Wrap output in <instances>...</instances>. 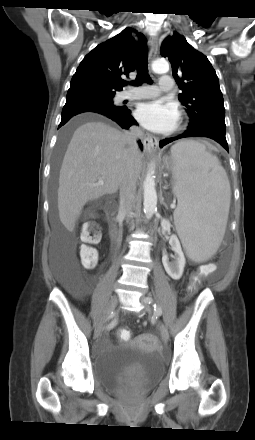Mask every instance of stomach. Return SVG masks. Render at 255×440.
Wrapping results in <instances>:
<instances>
[{"label":"stomach","instance_id":"1","mask_svg":"<svg viewBox=\"0 0 255 440\" xmlns=\"http://www.w3.org/2000/svg\"><path fill=\"white\" fill-rule=\"evenodd\" d=\"M165 165L167 167V169L174 171L175 170V161L174 159H169L168 161H165Z\"/></svg>","mask_w":255,"mask_h":440}]
</instances>
